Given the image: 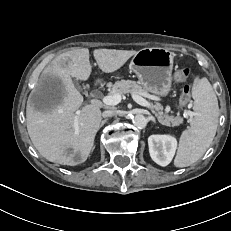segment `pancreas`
Segmentation results:
<instances>
[{"mask_svg":"<svg viewBox=\"0 0 231 231\" xmlns=\"http://www.w3.org/2000/svg\"><path fill=\"white\" fill-rule=\"evenodd\" d=\"M138 94L143 97H148V91L138 82L131 80H121L115 82L110 88V94H120L121 96L124 94ZM152 110L156 112L157 119L159 122L166 126H178L182 123V118L170 116L168 114L163 113V107L161 104L156 103L153 105Z\"/></svg>","mask_w":231,"mask_h":231,"instance_id":"obj_1","label":"pancreas"}]
</instances>
